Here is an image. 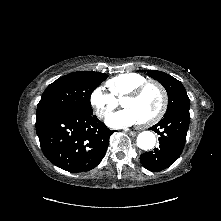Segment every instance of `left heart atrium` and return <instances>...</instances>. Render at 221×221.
I'll return each mask as SVG.
<instances>
[{
	"instance_id": "obj_1",
	"label": "left heart atrium",
	"mask_w": 221,
	"mask_h": 221,
	"mask_svg": "<svg viewBox=\"0 0 221 221\" xmlns=\"http://www.w3.org/2000/svg\"><path fill=\"white\" fill-rule=\"evenodd\" d=\"M106 123L111 127H125L135 125L139 123V120L131 110L124 109L118 113L110 114Z\"/></svg>"
}]
</instances>
